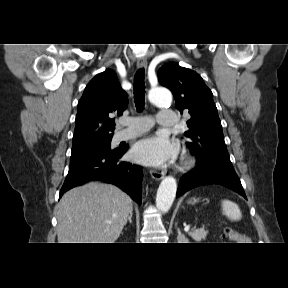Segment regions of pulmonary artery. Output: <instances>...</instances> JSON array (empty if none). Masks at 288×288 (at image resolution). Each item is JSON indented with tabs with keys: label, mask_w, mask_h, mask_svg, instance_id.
Masks as SVG:
<instances>
[{
	"label": "pulmonary artery",
	"mask_w": 288,
	"mask_h": 288,
	"mask_svg": "<svg viewBox=\"0 0 288 288\" xmlns=\"http://www.w3.org/2000/svg\"><path fill=\"white\" fill-rule=\"evenodd\" d=\"M176 114L170 109L159 111L157 122L160 126L174 127L176 123ZM152 127L151 119L148 116L133 117L128 120V127L118 131L114 137L115 142L126 140L138 136Z\"/></svg>",
	"instance_id": "obj_1"
}]
</instances>
